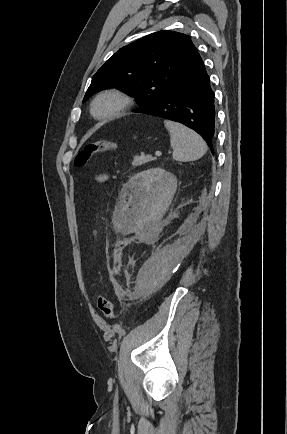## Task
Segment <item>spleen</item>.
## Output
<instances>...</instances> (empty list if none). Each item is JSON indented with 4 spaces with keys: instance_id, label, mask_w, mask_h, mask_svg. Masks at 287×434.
<instances>
[{
    "instance_id": "1",
    "label": "spleen",
    "mask_w": 287,
    "mask_h": 434,
    "mask_svg": "<svg viewBox=\"0 0 287 434\" xmlns=\"http://www.w3.org/2000/svg\"><path fill=\"white\" fill-rule=\"evenodd\" d=\"M170 134L173 159L180 162L195 161L207 151V145L200 135L184 125L165 120Z\"/></svg>"
}]
</instances>
